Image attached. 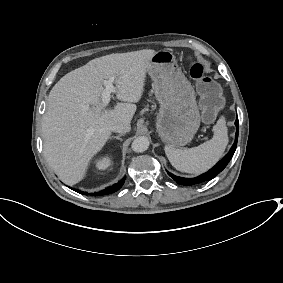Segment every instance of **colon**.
I'll list each match as a JSON object with an SVG mask.
<instances>
[{"label": "colon", "mask_w": 283, "mask_h": 283, "mask_svg": "<svg viewBox=\"0 0 283 283\" xmlns=\"http://www.w3.org/2000/svg\"><path fill=\"white\" fill-rule=\"evenodd\" d=\"M190 75L197 82L203 118L212 121L224 104L221 87L206 75L204 66L199 62H190Z\"/></svg>", "instance_id": "colon-1"}]
</instances>
